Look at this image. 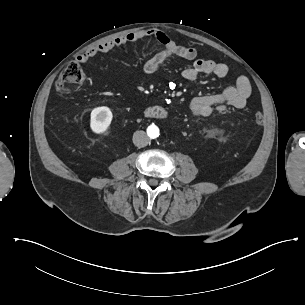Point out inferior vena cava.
Returning <instances> with one entry per match:
<instances>
[{
    "mask_svg": "<svg viewBox=\"0 0 305 305\" xmlns=\"http://www.w3.org/2000/svg\"><path fill=\"white\" fill-rule=\"evenodd\" d=\"M133 143L137 147H145L149 143V138L144 131H136L133 134Z\"/></svg>",
    "mask_w": 305,
    "mask_h": 305,
    "instance_id": "obj_1",
    "label": "inferior vena cava"
}]
</instances>
